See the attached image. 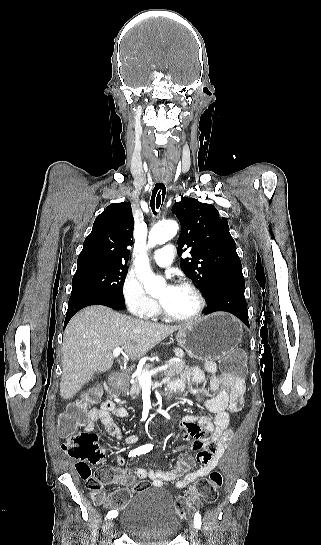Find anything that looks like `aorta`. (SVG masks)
Instances as JSON below:
<instances>
[{"label":"aorta","instance_id":"1","mask_svg":"<svg viewBox=\"0 0 321 545\" xmlns=\"http://www.w3.org/2000/svg\"><path fill=\"white\" fill-rule=\"evenodd\" d=\"M178 229L176 221H163L154 225L149 233L148 247L166 243L176 235ZM136 272L144 284L145 291L151 295L158 294L165 284L160 277L153 275L146 255L137 258Z\"/></svg>","mask_w":321,"mask_h":545}]
</instances>
